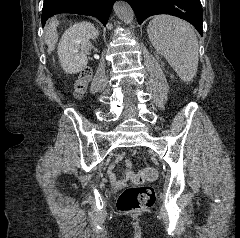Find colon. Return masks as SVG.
I'll return each mask as SVG.
<instances>
[{
    "label": "colon",
    "mask_w": 240,
    "mask_h": 238,
    "mask_svg": "<svg viewBox=\"0 0 240 238\" xmlns=\"http://www.w3.org/2000/svg\"><path fill=\"white\" fill-rule=\"evenodd\" d=\"M91 70H82L74 85V93L80 97L85 92L91 79ZM128 177L134 182L152 181L158 177V171L154 167L145 168L139 172L131 168L127 173ZM155 201L154 189L150 186H137L124 189L117 199V209L123 213H135L145 210L153 205Z\"/></svg>",
    "instance_id": "5ec220e1"
}]
</instances>
